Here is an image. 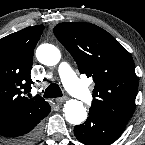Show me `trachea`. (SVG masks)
Segmentation results:
<instances>
[{"instance_id": "3493384b", "label": "trachea", "mask_w": 145, "mask_h": 145, "mask_svg": "<svg viewBox=\"0 0 145 145\" xmlns=\"http://www.w3.org/2000/svg\"><path fill=\"white\" fill-rule=\"evenodd\" d=\"M44 98H56V97H62V91L58 84L51 83L47 89L44 92Z\"/></svg>"}]
</instances>
